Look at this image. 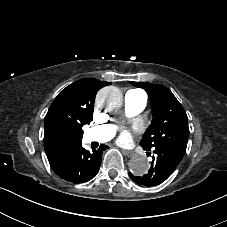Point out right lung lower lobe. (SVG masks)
Masks as SVG:
<instances>
[{"instance_id":"1","label":"right lung lower lobe","mask_w":227,"mask_h":227,"mask_svg":"<svg viewBox=\"0 0 227 227\" xmlns=\"http://www.w3.org/2000/svg\"><path fill=\"white\" fill-rule=\"evenodd\" d=\"M106 148L108 147L101 145L98 150L93 149L90 152L80 143L64 151L54 163H50V166L66 181L87 182L97 175L101 165L102 151Z\"/></svg>"}]
</instances>
